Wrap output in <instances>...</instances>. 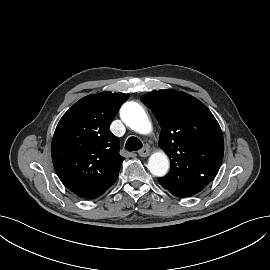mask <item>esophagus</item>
Wrapping results in <instances>:
<instances>
[{
  "label": "esophagus",
  "instance_id": "1",
  "mask_svg": "<svg viewBox=\"0 0 270 270\" xmlns=\"http://www.w3.org/2000/svg\"><path fill=\"white\" fill-rule=\"evenodd\" d=\"M140 157H147L150 154V149L148 146H145L141 150L138 151Z\"/></svg>",
  "mask_w": 270,
  "mask_h": 270
}]
</instances>
